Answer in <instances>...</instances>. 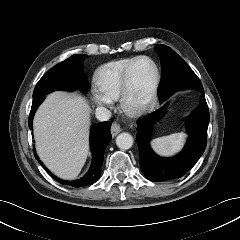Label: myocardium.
Segmentation results:
<instances>
[{
	"instance_id": "1",
	"label": "myocardium",
	"mask_w": 240,
	"mask_h": 240,
	"mask_svg": "<svg viewBox=\"0 0 240 240\" xmlns=\"http://www.w3.org/2000/svg\"><path fill=\"white\" fill-rule=\"evenodd\" d=\"M148 60L155 68V80L150 92L139 101H132L131 89V76L136 65L142 61ZM161 85V70L158 63L151 57L143 55L137 57L126 69L123 80L122 88L119 96L120 108L128 116L136 117L143 115L153 108L155 105Z\"/></svg>"
}]
</instances>
